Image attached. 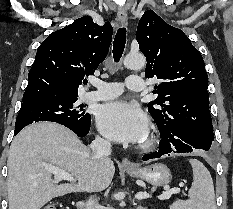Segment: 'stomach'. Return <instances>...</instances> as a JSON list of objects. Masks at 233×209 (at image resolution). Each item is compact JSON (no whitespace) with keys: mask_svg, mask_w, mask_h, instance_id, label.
<instances>
[{"mask_svg":"<svg viewBox=\"0 0 233 209\" xmlns=\"http://www.w3.org/2000/svg\"><path fill=\"white\" fill-rule=\"evenodd\" d=\"M134 177L146 181L153 186H164L171 182L172 176L169 168L161 163L152 164L136 170L126 169Z\"/></svg>","mask_w":233,"mask_h":209,"instance_id":"obj_1","label":"stomach"}]
</instances>
